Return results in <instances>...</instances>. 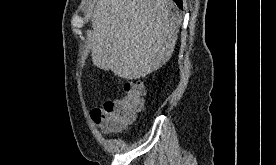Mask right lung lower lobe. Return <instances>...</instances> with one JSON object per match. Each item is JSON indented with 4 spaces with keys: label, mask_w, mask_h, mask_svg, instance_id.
<instances>
[{
    "label": "right lung lower lobe",
    "mask_w": 276,
    "mask_h": 165,
    "mask_svg": "<svg viewBox=\"0 0 276 165\" xmlns=\"http://www.w3.org/2000/svg\"><path fill=\"white\" fill-rule=\"evenodd\" d=\"M180 8H182V0H173Z\"/></svg>",
    "instance_id": "1"
}]
</instances>
